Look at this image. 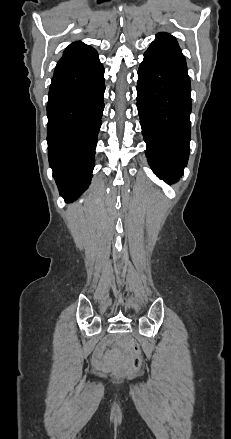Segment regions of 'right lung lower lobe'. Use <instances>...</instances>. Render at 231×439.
Segmentation results:
<instances>
[{"instance_id": "obj_1", "label": "right lung lower lobe", "mask_w": 231, "mask_h": 439, "mask_svg": "<svg viewBox=\"0 0 231 439\" xmlns=\"http://www.w3.org/2000/svg\"><path fill=\"white\" fill-rule=\"evenodd\" d=\"M104 91V67L98 56L52 78L47 103L48 158L65 201H74L90 184Z\"/></svg>"}]
</instances>
